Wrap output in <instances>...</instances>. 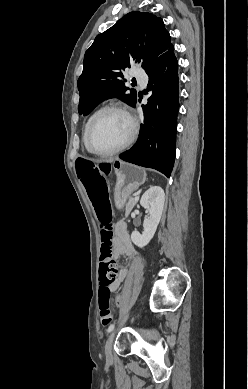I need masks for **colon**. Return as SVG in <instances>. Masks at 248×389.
Returning <instances> with one entry per match:
<instances>
[{
    "mask_svg": "<svg viewBox=\"0 0 248 389\" xmlns=\"http://www.w3.org/2000/svg\"><path fill=\"white\" fill-rule=\"evenodd\" d=\"M75 162L101 226L99 310L101 324L106 326L113 320L110 296L111 286L117 278V266L111 255L115 226L107 186L112 166L110 161L91 162L87 157H76ZM114 298L116 307L125 303L124 294H115Z\"/></svg>",
    "mask_w": 248,
    "mask_h": 389,
    "instance_id": "colon-1",
    "label": "colon"
}]
</instances>
